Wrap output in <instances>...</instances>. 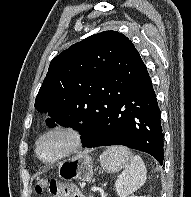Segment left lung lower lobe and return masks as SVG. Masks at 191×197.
<instances>
[{"label": "left lung lower lobe", "mask_w": 191, "mask_h": 197, "mask_svg": "<svg viewBox=\"0 0 191 197\" xmlns=\"http://www.w3.org/2000/svg\"><path fill=\"white\" fill-rule=\"evenodd\" d=\"M160 110L147 69L130 72L82 123L86 147L124 145L164 160Z\"/></svg>", "instance_id": "0a47b994"}]
</instances>
